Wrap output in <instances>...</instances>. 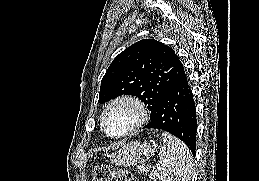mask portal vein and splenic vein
Masks as SVG:
<instances>
[{
    "label": "portal vein and splenic vein",
    "mask_w": 259,
    "mask_h": 181,
    "mask_svg": "<svg viewBox=\"0 0 259 181\" xmlns=\"http://www.w3.org/2000/svg\"><path fill=\"white\" fill-rule=\"evenodd\" d=\"M140 170L143 171V172H147L148 171V167H142Z\"/></svg>",
    "instance_id": "portal-vein-and-splenic-vein-1"
}]
</instances>
